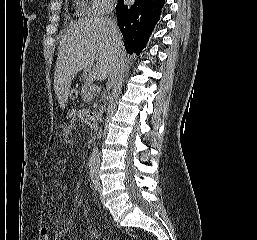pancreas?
<instances>
[{
	"mask_svg": "<svg viewBox=\"0 0 257 240\" xmlns=\"http://www.w3.org/2000/svg\"><path fill=\"white\" fill-rule=\"evenodd\" d=\"M89 84H84V86L82 87V91H81V94H82V98L84 101H90L91 99H89L88 97V94H89Z\"/></svg>",
	"mask_w": 257,
	"mask_h": 240,
	"instance_id": "obj_1",
	"label": "pancreas"
}]
</instances>
